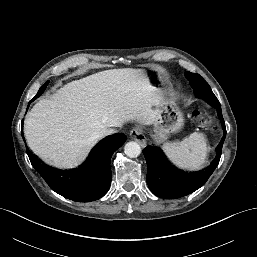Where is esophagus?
<instances>
[{
	"label": "esophagus",
	"mask_w": 257,
	"mask_h": 257,
	"mask_svg": "<svg viewBox=\"0 0 257 257\" xmlns=\"http://www.w3.org/2000/svg\"><path fill=\"white\" fill-rule=\"evenodd\" d=\"M130 137L139 143L142 147L146 145V137L143 133V130L139 127H136L130 131Z\"/></svg>",
	"instance_id": "esophagus-1"
}]
</instances>
